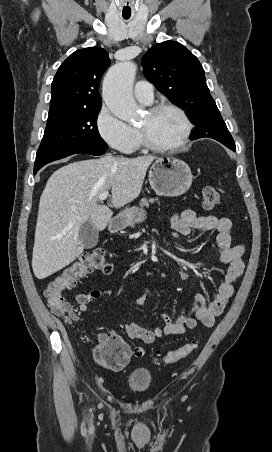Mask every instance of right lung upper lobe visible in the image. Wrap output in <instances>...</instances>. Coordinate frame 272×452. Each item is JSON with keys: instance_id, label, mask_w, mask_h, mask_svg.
<instances>
[{"instance_id": "cb5924a9", "label": "right lung upper lobe", "mask_w": 272, "mask_h": 452, "mask_svg": "<svg viewBox=\"0 0 272 452\" xmlns=\"http://www.w3.org/2000/svg\"><path fill=\"white\" fill-rule=\"evenodd\" d=\"M109 64L107 51L99 47L71 54L53 79L49 114L101 107L99 84Z\"/></svg>"}]
</instances>
